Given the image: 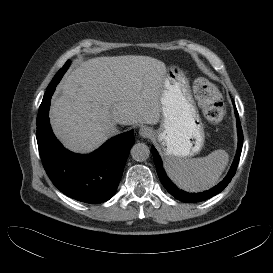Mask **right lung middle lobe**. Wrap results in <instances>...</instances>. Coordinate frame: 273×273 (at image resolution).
Masks as SVG:
<instances>
[{"instance_id":"obj_1","label":"right lung middle lobe","mask_w":273,"mask_h":273,"mask_svg":"<svg viewBox=\"0 0 273 273\" xmlns=\"http://www.w3.org/2000/svg\"><path fill=\"white\" fill-rule=\"evenodd\" d=\"M70 65V61L68 60L65 65L57 72V74L54 76V78L52 79L51 83L49 84V86L47 87V91H50L52 89H54L56 87V85L59 83V81L61 80L63 74L66 72V70L68 69Z\"/></svg>"}]
</instances>
